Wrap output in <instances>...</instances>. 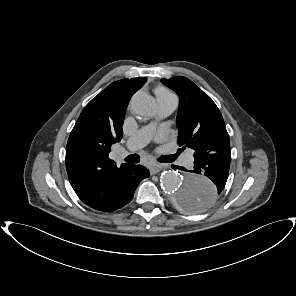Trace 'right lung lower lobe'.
Here are the masks:
<instances>
[{
    "instance_id": "right-lung-lower-lobe-1",
    "label": "right lung lower lobe",
    "mask_w": 296,
    "mask_h": 296,
    "mask_svg": "<svg viewBox=\"0 0 296 296\" xmlns=\"http://www.w3.org/2000/svg\"><path fill=\"white\" fill-rule=\"evenodd\" d=\"M149 171L140 165H130L124 175L120 196L111 204L106 212L114 211L128 204L133 198L137 185L149 177Z\"/></svg>"
}]
</instances>
